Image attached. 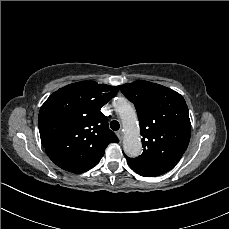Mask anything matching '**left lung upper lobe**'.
<instances>
[{
	"mask_svg": "<svg viewBox=\"0 0 229 229\" xmlns=\"http://www.w3.org/2000/svg\"><path fill=\"white\" fill-rule=\"evenodd\" d=\"M136 107L143 153L127 162L146 177L162 175L180 160L189 144L191 123L184 98L176 91L148 81L119 86Z\"/></svg>",
	"mask_w": 229,
	"mask_h": 229,
	"instance_id": "obj_1",
	"label": "left lung upper lobe"
}]
</instances>
